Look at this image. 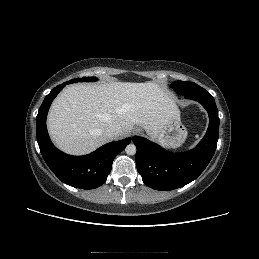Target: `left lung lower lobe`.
Returning <instances> with one entry per match:
<instances>
[{
  "label": "left lung lower lobe",
  "mask_w": 259,
  "mask_h": 259,
  "mask_svg": "<svg viewBox=\"0 0 259 259\" xmlns=\"http://www.w3.org/2000/svg\"><path fill=\"white\" fill-rule=\"evenodd\" d=\"M184 96L201 103L209 114L208 130L196 148L173 154L145 138H132L137 148V170L143 182L155 190H173L195 180L207 167L216 150L219 117L214 98L208 91Z\"/></svg>",
  "instance_id": "1"
}]
</instances>
